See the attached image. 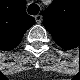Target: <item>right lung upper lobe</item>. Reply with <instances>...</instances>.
Masks as SVG:
<instances>
[{
    "mask_svg": "<svg viewBox=\"0 0 80 80\" xmlns=\"http://www.w3.org/2000/svg\"><path fill=\"white\" fill-rule=\"evenodd\" d=\"M22 0L9 1L0 11V45L6 49L17 46L28 28L34 24Z\"/></svg>",
    "mask_w": 80,
    "mask_h": 80,
    "instance_id": "1",
    "label": "right lung upper lobe"
}]
</instances>
